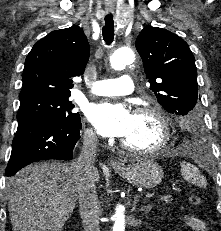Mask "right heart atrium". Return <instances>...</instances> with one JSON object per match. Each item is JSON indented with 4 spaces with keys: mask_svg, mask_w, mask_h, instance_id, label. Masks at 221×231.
<instances>
[{
    "mask_svg": "<svg viewBox=\"0 0 221 231\" xmlns=\"http://www.w3.org/2000/svg\"><path fill=\"white\" fill-rule=\"evenodd\" d=\"M86 139L88 141H95L96 140V136L94 134V132L92 130H87L86 131Z\"/></svg>",
    "mask_w": 221,
    "mask_h": 231,
    "instance_id": "right-heart-atrium-1",
    "label": "right heart atrium"
}]
</instances>
